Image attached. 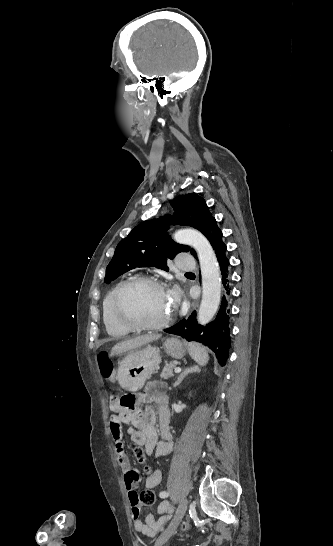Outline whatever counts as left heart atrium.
I'll list each match as a JSON object with an SVG mask.
<instances>
[{
  "mask_svg": "<svg viewBox=\"0 0 333 546\" xmlns=\"http://www.w3.org/2000/svg\"><path fill=\"white\" fill-rule=\"evenodd\" d=\"M167 293H168L169 298H170V300H171V302H172L173 304H175V303L178 302V295H177V293H176L174 290L168 291Z\"/></svg>",
  "mask_w": 333,
  "mask_h": 546,
  "instance_id": "1",
  "label": "left heart atrium"
}]
</instances>
